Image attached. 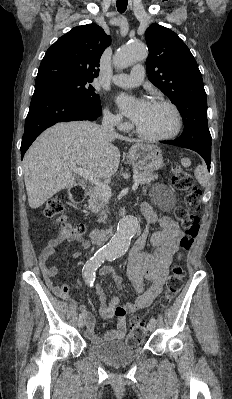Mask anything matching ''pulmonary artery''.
<instances>
[{
  "label": "pulmonary artery",
  "mask_w": 232,
  "mask_h": 399,
  "mask_svg": "<svg viewBox=\"0 0 232 399\" xmlns=\"http://www.w3.org/2000/svg\"><path fill=\"white\" fill-rule=\"evenodd\" d=\"M135 68L131 69L130 73H122L120 77H109L108 83H117L119 85L117 90H137L138 84H144V77L141 73L144 65L136 63Z\"/></svg>",
  "instance_id": "1"
}]
</instances>
